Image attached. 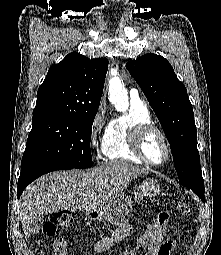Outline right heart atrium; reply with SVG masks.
<instances>
[{"label":"right heart atrium","instance_id":"1","mask_svg":"<svg viewBox=\"0 0 221 255\" xmlns=\"http://www.w3.org/2000/svg\"><path fill=\"white\" fill-rule=\"evenodd\" d=\"M108 121L103 106H100L94 115L90 126V143L96 148L102 135L106 132Z\"/></svg>","mask_w":221,"mask_h":255}]
</instances>
